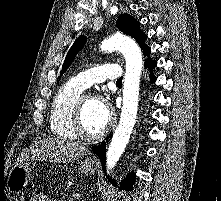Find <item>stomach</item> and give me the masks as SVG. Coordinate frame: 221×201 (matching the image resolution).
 I'll return each instance as SVG.
<instances>
[{"mask_svg": "<svg viewBox=\"0 0 221 201\" xmlns=\"http://www.w3.org/2000/svg\"><path fill=\"white\" fill-rule=\"evenodd\" d=\"M79 171L90 175L95 172V165L89 160L80 163ZM34 178V166L29 162H18L10 170L7 187L13 193L21 192Z\"/></svg>", "mask_w": 221, "mask_h": 201, "instance_id": "obj_1", "label": "stomach"}]
</instances>
